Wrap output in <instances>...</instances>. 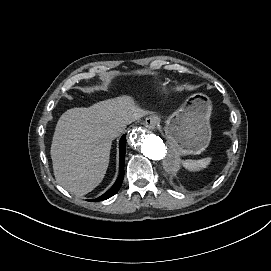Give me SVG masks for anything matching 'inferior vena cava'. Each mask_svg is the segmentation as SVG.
<instances>
[{"mask_svg":"<svg viewBox=\"0 0 271 271\" xmlns=\"http://www.w3.org/2000/svg\"><path fill=\"white\" fill-rule=\"evenodd\" d=\"M124 132V130H120V132H118V134L115 135V137H117L120 133Z\"/></svg>","mask_w":271,"mask_h":271,"instance_id":"obj_1","label":"inferior vena cava"}]
</instances>
